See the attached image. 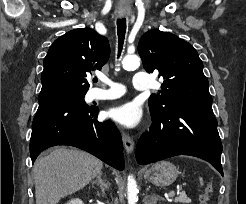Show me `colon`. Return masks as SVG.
I'll list each match as a JSON object with an SVG mask.
<instances>
[{
	"label": "colon",
	"instance_id": "5ec220e1",
	"mask_svg": "<svg viewBox=\"0 0 246 204\" xmlns=\"http://www.w3.org/2000/svg\"><path fill=\"white\" fill-rule=\"evenodd\" d=\"M211 192V188L207 187L205 192L201 195L200 201L202 204H209V193Z\"/></svg>",
	"mask_w": 246,
	"mask_h": 204
}]
</instances>
